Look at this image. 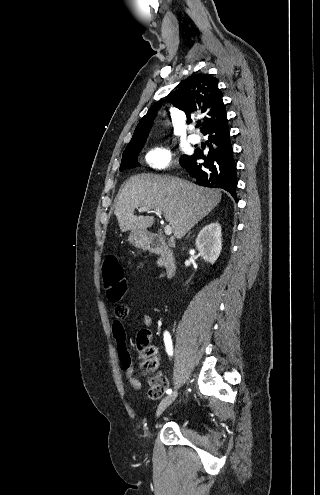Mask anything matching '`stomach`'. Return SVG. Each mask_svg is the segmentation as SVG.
Returning <instances> with one entry per match:
<instances>
[{"label":"stomach","mask_w":320,"mask_h":495,"mask_svg":"<svg viewBox=\"0 0 320 495\" xmlns=\"http://www.w3.org/2000/svg\"><path fill=\"white\" fill-rule=\"evenodd\" d=\"M128 241L135 247L144 248L148 246V234L146 231H131Z\"/></svg>","instance_id":"0dacf381"}]
</instances>
